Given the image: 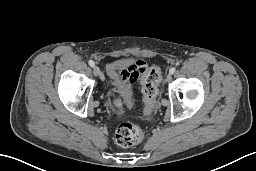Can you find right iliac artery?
<instances>
[{
  "instance_id": "1",
  "label": "right iliac artery",
  "mask_w": 256,
  "mask_h": 171,
  "mask_svg": "<svg viewBox=\"0 0 256 171\" xmlns=\"http://www.w3.org/2000/svg\"><path fill=\"white\" fill-rule=\"evenodd\" d=\"M89 65L91 66V67H94L95 66V63H94V61L93 60H89Z\"/></svg>"
}]
</instances>
